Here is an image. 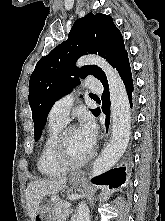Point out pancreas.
Returning a JSON list of instances; mask_svg holds the SVG:
<instances>
[{
    "label": "pancreas",
    "instance_id": "obj_1",
    "mask_svg": "<svg viewBox=\"0 0 165 221\" xmlns=\"http://www.w3.org/2000/svg\"><path fill=\"white\" fill-rule=\"evenodd\" d=\"M64 203V201H59L54 204L55 215L58 221H64L70 214L69 207H66Z\"/></svg>",
    "mask_w": 165,
    "mask_h": 221
}]
</instances>
